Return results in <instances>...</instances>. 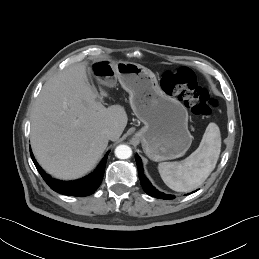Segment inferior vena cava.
<instances>
[{"mask_svg":"<svg viewBox=\"0 0 259 259\" xmlns=\"http://www.w3.org/2000/svg\"><path fill=\"white\" fill-rule=\"evenodd\" d=\"M103 134L105 135L106 138H108L109 140H112L115 136V131L108 128L103 131Z\"/></svg>","mask_w":259,"mask_h":259,"instance_id":"obj_1","label":"inferior vena cava"}]
</instances>
